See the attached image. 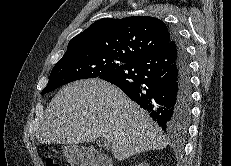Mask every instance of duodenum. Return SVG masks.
I'll return each mask as SVG.
<instances>
[{
    "instance_id": "1",
    "label": "duodenum",
    "mask_w": 231,
    "mask_h": 166,
    "mask_svg": "<svg viewBox=\"0 0 231 166\" xmlns=\"http://www.w3.org/2000/svg\"><path fill=\"white\" fill-rule=\"evenodd\" d=\"M79 157L90 166H111L104 155L94 150H85L79 154Z\"/></svg>"
}]
</instances>
